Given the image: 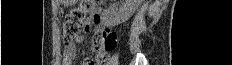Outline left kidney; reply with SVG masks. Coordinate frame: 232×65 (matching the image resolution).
Here are the masks:
<instances>
[{
  "instance_id": "obj_1",
  "label": "left kidney",
  "mask_w": 232,
  "mask_h": 65,
  "mask_svg": "<svg viewBox=\"0 0 232 65\" xmlns=\"http://www.w3.org/2000/svg\"><path fill=\"white\" fill-rule=\"evenodd\" d=\"M139 4L140 0H124L119 7L105 10L103 14L105 23L113 27L127 21L138 8Z\"/></svg>"
}]
</instances>
